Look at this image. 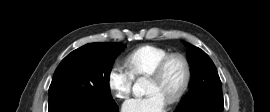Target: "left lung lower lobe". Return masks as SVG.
<instances>
[{
  "mask_svg": "<svg viewBox=\"0 0 270 112\" xmlns=\"http://www.w3.org/2000/svg\"><path fill=\"white\" fill-rule=\"evenodd\" d=\"M223 102L208 101L196 103L184 109H176L174 112H223Z\"/></svg>",
  "mask_w": 270,
  "mask_h": 112,
  "instance_id": "left-lung-lower-lobe-1",
  "label": "left lung lower lobe"
}]
</instances>
